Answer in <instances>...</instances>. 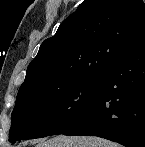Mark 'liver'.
Returning <instances> with one entry per match:
<instances>
[{
	"instance_id": "liver-1",
	"label": "liver",
	"mask_w": 145,
	"mask_h": 147,
	"mask_svg": "<svg viewBox=\"0 0 145 147\" xmlns=\"http://www.w3.org/2000/svg\"><path fill=\"white\" fill-rule=\"evenodd\" d=\"M36 147H120V145L99 137L59 135L41 142Z\"/></svg>"
}]
</instances>
